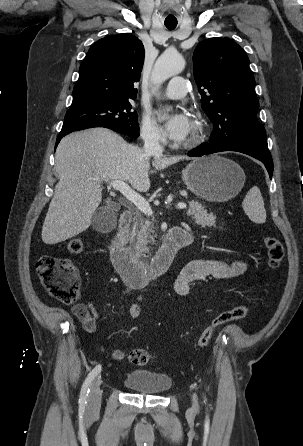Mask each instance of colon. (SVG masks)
<instances>
[{"label":"colon","mask_w":303,"mask_h":446,"mask_svg":"<svg viewBox=\"0 0 303 446\" xmlns=\"http://www.w3.org/2000/svg\"><path fill=\"white\" fill-rule=\"evenodd\" d=\"M267 249L268 265L271 269L279 267L284 257L282 243L273 236L263 239ZM67 250L71 254H80L84 250L83 241L80 238H72L67 243ZM36 271L42 285L54 299L72 304L80 295L81 280L73 262L67 258L44 256L36 263ZM251 310L250 305H239L219 314L200 334L197 345L205 347L213 338L217 329L229 322L244 318ZM117 358L122 354L117 352ZM128 359L134 365L143 366L154 359V354L146 349H135L129 352Z\"/></svg>","instance_id":"obj_1"}]
</instances>
